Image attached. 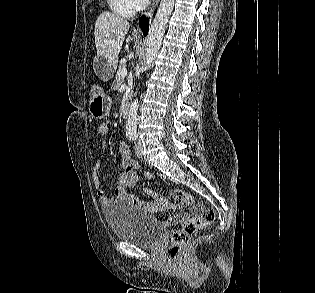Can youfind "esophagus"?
<instances>
[{
    "label": "esophagus",
    "mask_w": 315,
    "mask_h": 293,
    "mask_svg": "<svg viewBox=\"0 0 315 293\" xmlns=\"http://www.w3.org/2000/svg\"><path fill=\"white\" fill-rule=\"evenodd\" d=\"M159 1H160V0H154V1H153L152 5L148 8V10H147V12H146V18H148V19H151V18H152L153 14H154V12H155V10H156L158 4H159ZM136 31H140V28L137 27V28H136Z\"/></svg>",
    "instance_id": "esophagus-1"
}]
</instances>
